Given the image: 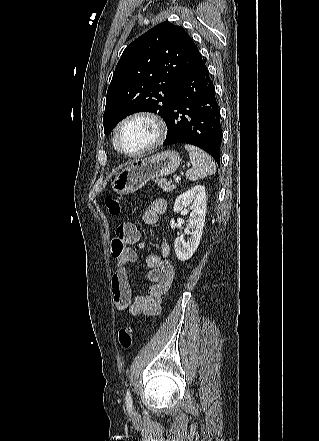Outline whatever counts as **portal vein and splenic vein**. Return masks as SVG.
I'll return each mask as SVG.
<instances>
[{
  "label": "portal vein and splenic vein",
  "instance_id": "obj_1",
  "mask_svg": "<svg viewBox=\"0 0 319 441\" xmlns=\"http://www.w3.org/2000/svg\"><path fill=\"white\" fill-rule=\"evenodd\" d=\"M174 179H175V182H179L180 181V177L179 176L174 177Z\"/></svg>",
  "mask_w": 319,
  "mask_h": 441
}]
</instances>
